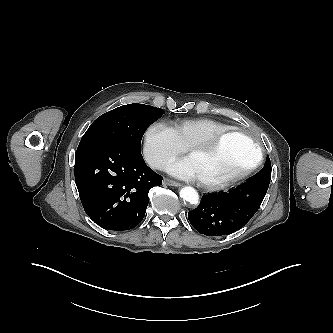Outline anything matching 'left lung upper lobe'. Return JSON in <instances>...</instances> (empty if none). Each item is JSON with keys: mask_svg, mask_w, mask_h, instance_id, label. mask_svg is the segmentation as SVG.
Segmentation results:
<instances>
[{"mask_svg": "<svg viewBox=\"0 0 333 333\" xmlns=\"http://www.w3.org/2000/svg\"><path fill=\"white\" fill-rule=\"evenodd\" d=\"M271 163L270 158L267 157L264 167L254 176H252L248 181H254L262 178L270 179L271 178Z\"/></svg>", "mask_w": 333, "mask_h": 333, "instance_id": "1", "label": "left lung upper lobe"}]
</instances>
